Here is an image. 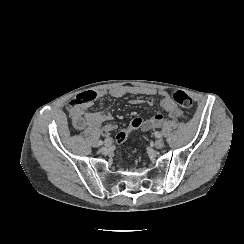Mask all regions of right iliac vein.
I'll use <instances>...</instances> for the list:
<instances>
[{"label":"right iliac vein","mask_w":244,"mask_h":244,"mask_svg":"<svg viewBox=\"0 0 244 244\" xmlns=\"http://www.w3.org/2000/svg\"><path fill=\"white\" fill-rule=\"evenodd\" d=\"M104 145H105V147H110L112 145V139L111 138H106L104 140Z\"/></svg>","instance_id":"1"}]
</instances>
